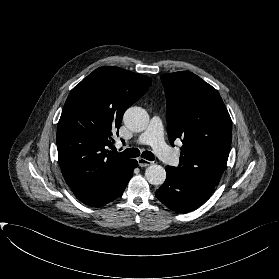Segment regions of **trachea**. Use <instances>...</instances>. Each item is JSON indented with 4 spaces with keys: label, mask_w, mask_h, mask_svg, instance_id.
<instances>
[{
    "label": "trachea",
    "mask_w": 279,
    "mask_h": 279,
    "mask_svg": "<svg viewBox=\"0 0 279 279\" xmlns=\"http://www.w3.org/2000/svg\"><path fill=\"white\" fill-rule=\"evenodd\" d=\"M120 155L126 158H135L140 155V151L137 148H129L121 152ZM141 157L149 161H153L155 158L154 154L150 151H144Z\"/></svg>",
    "instance_id": "obj_1"
}]
</instances>
